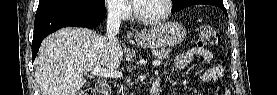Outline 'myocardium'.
Here are the masks:
<instances>
[{
  "instance_id": "myocardium-1",
  "label": "myocardium",
  "mask_w": 277,
  "mask_h": 95,
  "mask_svg": "<svg viewBox=\"0 0 277 95\" xmlns=\"http://www.w3.org/2000/svg\"><path fill=\"white\" fill-rule=\"evenodd\" d=\"M163 2L165 4L164 13L158 17H152V18H146V17L141 16L137 9V3H134L132 5V11H133L135 19L141 23L148 24V25H155V24H159V23L163 22L164 20H166L169 17V15L172 11V0H163Z\"/></svg>"
}]
</instances>
